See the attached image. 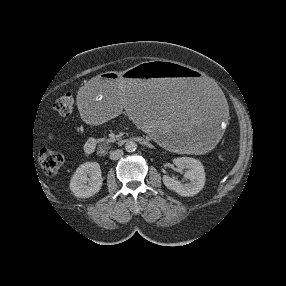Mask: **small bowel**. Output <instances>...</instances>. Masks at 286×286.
Returning a JSON list of instances; mask_svg holds the SVG:
<instances>
[{
  "label": "small bowel",
  "instance_id": "c3829d8e",
  "mask_svg": "<svg viewBox=\"0 0 286 286\" xmlns=\"http://www.w3.org/2000/svg\"><path fill=\"white\" fill-rule=\"evenodd\" d=\"M96 148V139L93 137L88 138L82 146L85 155L89 156L94 153Z\"/></svg>",
  "mask_w": 286,
  "mask_h": 286
}]
</instances>
